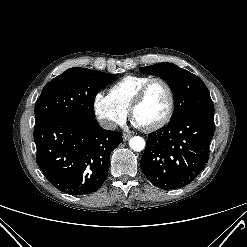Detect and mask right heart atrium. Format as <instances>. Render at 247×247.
<instances>
[{
  "mask_svg": "<svg viewBox=\"0 0 247 247\" xmlns=\"http://www.w3.org/2000/svg\"><path fill=\"white\" fill-rule=\"evenodd\" d=\"M93 109L101 124L108 129L123 124L128 114V109L121 107L109 94L101 91L94 96Z\"/></svg>",
  "mask_w": 247,
  "mask_h": 247,
  "instance_id": "d8ad5b80",
  "label": "right heart atrium"
}]
</instances>
